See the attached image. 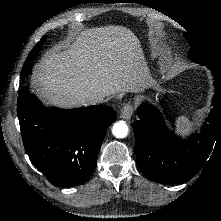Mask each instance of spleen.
Listing matches in <instances>:
<instances>
[{"mask_svg":"<svg viewBox=\"0 0 221 221\" xmlns=\"http://www.w3.org/2000/svg\"><path fill=\"white\" fill-rule=\"evenodd\" d=\"M189 123H190V120L185 115H181L176 118V125L179 130H182V128L189 125Z\"/></svg>","mask_w":221,"mask_h":221,"instance_id":"1","label":"spleen"}]
</instances>
